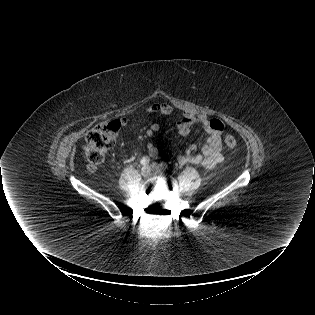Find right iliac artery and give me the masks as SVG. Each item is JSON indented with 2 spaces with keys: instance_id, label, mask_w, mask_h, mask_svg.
Listing matches in <instances>:
<instances>
[{
  "instance_id": "82829eb1",
  "label": "right iliac artery",
  "mask_w": 315,
  "mask_h": 315,
  "mask_svg": "<svg viewBox=\"0 0 315 315\" xmlns=\"http://www.w3.org/2000/svg\"><path fill=\"white\" fill-rule=\"evenodd\" d=\"M149 158L147 156L143 157L140 161L141 165L145 166L149 163Z\"/></svg>"
}]
</instances>
